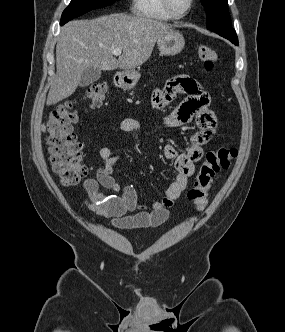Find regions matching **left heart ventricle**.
<instances>
[{"mask_svg": "<svg viewBox=\"0 0 285 332\" xmlns=\"http://www.w3.org/2000/svg\"><path fill=\"white\" fill-rule=\"evenodd\" d=\"M174 7L178 11H184L188 6V0H172Z\"/></svg>", "mask_w": 285, "mask_h": 332, "instance_id": "left-heart-ventricle-1", "label": "left heart ventricle"}]
</instances>
